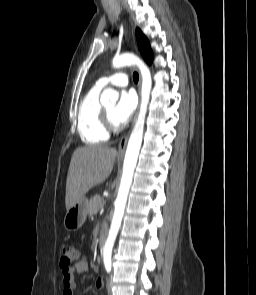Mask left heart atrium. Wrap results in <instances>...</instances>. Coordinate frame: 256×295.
Listing matches in <instances>:
<instances>
[{"instance_id": "39dd6f15", "label": "left heart atrium", "mask_w": 256, "mask_h": 295, "mask_svg": "<svg viewBox=\"0 0 256 295\" xmlns=\"http://www.w3.org/2000/svg\"><path fill=\"white\" fill-rule=\"evenodd\" d=\"M137 105L135 94L131 91L122 92L119 102L115 107L113 121L117 125L126 124L132 117Z\"/></svg>"}]
</instances>
